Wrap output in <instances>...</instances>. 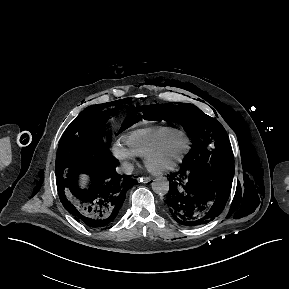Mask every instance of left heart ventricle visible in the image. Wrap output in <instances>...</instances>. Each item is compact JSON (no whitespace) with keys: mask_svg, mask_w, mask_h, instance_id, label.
Returning a JSON list of instances; mask_svg holds the SVG:
<instances>
[{"mask_svg":"<svg viewBox=\"0 0 289 289\" xmlns=\"http://www.w3.org/2000/svg\"><path fill=\"white\" fill-rule=\"evenodd\" d=\"M184 149V140L182 138H176L170 142L164 151L157 156L153 164L156 167H162L170 162H172L176 157H178Z\"/></svg>","mask_w":289,"mask_h":289,"instance_id":"obj_1","label":"left heart ventricle"}]
</instances>
